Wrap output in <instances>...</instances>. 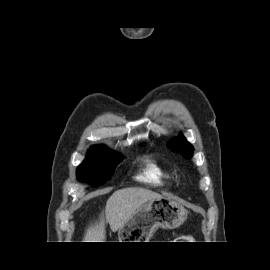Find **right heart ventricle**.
Returning a JSON list of instances; mask_svg holds the SVG:
<instances>
[{
    "instance_id": "right-heart-ventricle-1",
    "label": "right heart ventricle",
    "mask_w": 270,
    "mask_h": 270,
    "mask_svg": "<svg viewBox=\"0 0 270 270\" xmlns=\"http://www.w3.org/2000/svg\"><path fill=\"white\" fill-rule=\"evenodd\" d=\"M137 178L143 183L163 187L173 179V175L157 161L147 158Z\"/></svg>"
}]
</instances>
